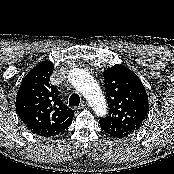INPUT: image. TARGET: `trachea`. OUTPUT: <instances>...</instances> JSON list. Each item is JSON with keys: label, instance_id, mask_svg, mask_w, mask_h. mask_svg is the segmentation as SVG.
Segmentation results:
<instances>
[{"label": "trachea", "instance_id": "obj_1", "mask_svg": "<svg viewBox=\"0 0 174 174\" xmlns=\"http://www.w3.org/2000/svg\"><path fill=\"white\" fill-rule=\"evenodd\" d=\"M80 104V97L78 94H72L69 98V106L70 107H77Z\"/></svg>", "mask_w": 174, "mask_h": 174}]
</instances>
